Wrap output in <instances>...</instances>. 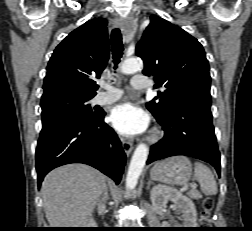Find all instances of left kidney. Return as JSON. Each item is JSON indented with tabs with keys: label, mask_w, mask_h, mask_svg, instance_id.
Instances as JSON below:
<instances>
[{
	"label": "left kidney",
	"mask_w": 252,
	"mask_h": 231,
	"mask_svg": "<svg viewBox=\"0 0 252 231\" xmlns=\"http://www.w3.org/2000/svg\"><path fill=\"white\" fill-rule=\"evenodd\" d=\"M150 198L156 213L162 214L168 200H171L182 214L183 223L180 227H197V211L194 203L178 190L164 185L154 186L151 190Z\"/></svg>",
	"instance_id": "left-kidney-1"
}]
</instances>
